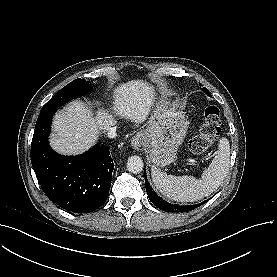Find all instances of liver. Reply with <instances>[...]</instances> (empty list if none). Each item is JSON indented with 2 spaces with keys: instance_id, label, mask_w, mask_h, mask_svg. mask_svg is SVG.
<instances>
[{
  "instance_id": "1",
  "label": "liver",
  "mask_w": 277,
  "mask_h": 277,
  "mask_svg": "<svg viewBox=\"0 0 277 277\" xmlns=\"http://www.w3.org/2000/svg\"><path fill=\"white\" fill-rule=\"evenodd\" d=\"M153 99L154 91L146 82L130 81L115 90L113 110L121 118L142 123ZM115 124L112 114L99 110L93 117L83 102H71L54 117L50 146L60 154H81L96 143L100 130L108 131Z\"/></svg>"
}]
</instances>
